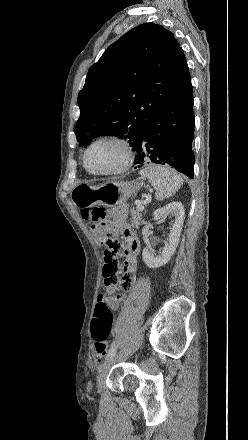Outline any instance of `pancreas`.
<instances>
[{
  "instance_id": "pancreas-1",
  "label": "pancreas",
  "mask_w": 248,
  "mask_h": 440,
  "mask_svg": "<svg viewBox=\"0 0 248 440\" xmlns=\"http://www.w3.org/2000/svg\"><path fill=\"white\" fill-rule=\"evenodd\" d=\"M141 217H142V215H141L140 211L137 208H136V210L133 209L131 211V219H130L131 225L135 228H138L141 224V222H140Z\"/></svg>"
}]
</instances>
